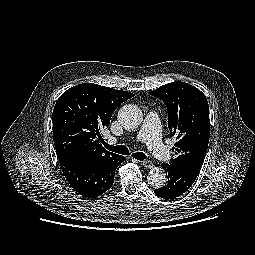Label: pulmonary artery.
Here are the masks:
<instances>
[{
    "label": "pulmonary artery",
    "instance_id": "obj_1",
    "mask_svg": "<svg viewBox=\"0 0 255 255\" xmlns=\"http://www.w3.org/2000/svg\"><path fill=\"white\" fill-rule=\"evenodd\" d=\"M160 123L159 114L157 112H149L136 135V140L145 143L156 157L168 160L170 158V151L161 140ZM116 142V138H109L110 144H115Z\"/></svg>",
    "mask_w": 255,
    "mask_h": 255
}]
</instances>
